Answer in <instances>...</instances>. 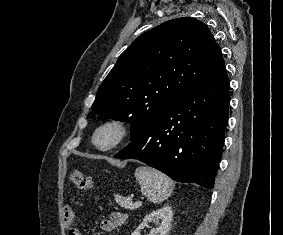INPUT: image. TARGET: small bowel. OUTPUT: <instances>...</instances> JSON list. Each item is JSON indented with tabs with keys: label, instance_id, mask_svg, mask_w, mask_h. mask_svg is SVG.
<instances>
[{
	"label": "small bowel",
	"instance_id": "small-bowel-1",
	"mask_svg": "<svg viewBox=\"0 0 283 235\" xmlns=\"http://www.w3.org/2000/svg\"><path fill=\"white\" fill-rule=\"evenodd\" d=\"M64 220L67 226H70L75 218V213L72 208L66 207L64 209ZM127 219V215L121 212L112 213L109 218L101 222V228L104 232H113L118 227L122 226ZM68 235H81L80 231L76 228H70Z\"/></svg>",
	"mask_w": 283,
	"mask_h": 235
}]
</instances>
